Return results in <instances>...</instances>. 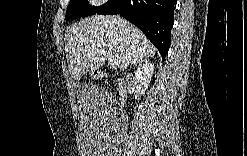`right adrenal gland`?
<instances>
[{"mask_svg":"<svg viewBox=\"0 0 247 156\" xmlns=\"http://www.w3.org/2000/svg\"><path fill=\"white\" fill-rule=\"evenodd\" d=\"M148 62L147 58H140L135 64L134 66H137V64H142V63H146Z\"/></svg>","mask_w":247,"mask_h":156,"instance_id":"2a0ac1e0","label":"right adrenal gland"}]
</instances>
